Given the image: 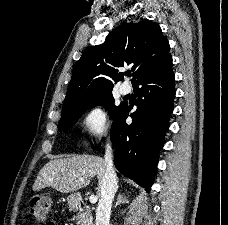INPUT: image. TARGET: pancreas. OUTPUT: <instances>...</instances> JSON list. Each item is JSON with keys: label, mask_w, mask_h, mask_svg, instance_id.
Masks as SVG:
<instances>
[{"label": "pancreas", "mask_w": 228, "mask_h": 225, "mask_svg": "<svg viewBox=\"0 0 228 225\" xmlns=\"http://www.w3.org/2000/svg\"><path fill=\"white\" fill-rule=\"evenodd\" d=\"M74 221L76 225H93V217L90 211H85V213H77V215H74Z\"/></svg>", "instance_id": "cf45deb5"}]
</instances>
